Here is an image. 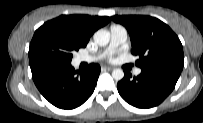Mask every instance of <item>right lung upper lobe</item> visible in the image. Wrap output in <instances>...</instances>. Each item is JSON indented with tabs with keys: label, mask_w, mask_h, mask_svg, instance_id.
Here are the masks:
<instances>
[{
	"label": "right lung upper lobe",
	"mask_w": 203,
	"mask_h": 123,
	"mask_svg": "<svg viewBox=\"0 0 203 123\" xmlns=\"http://www.w3.org/2000/svg\"><path fill=\"white\" fill-rule=\"evenodd\" d=\"M111 21L110 17L89 15H61L46 23L58 25L69 31L85 47L92 34Z\"/></svg>",
	"instance_id": "cb5924a9"
}]
</instances>
